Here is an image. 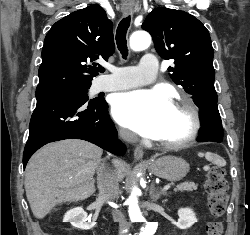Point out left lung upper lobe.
<instances>
[{
    "label": "left lung upper lobe",
    "mask_w": 250,
    "mask_h": 235,
    "mask_svg": "<svg viewBox=\"0 0 250 235\" xmlns=\"http://www.w3.org/2000/svg\"><path fill=\"white\" fill-rule=\"evenodd\" d=\"M142 29L151 34L161 57L174 60V66L168 68L171 78L192 95L199 108L217 102L214 52L209 32L201 21L184 11L156 8Z\"/></svg>",
    "instance_id": "left-lung-upper-lobe-1"
}]
</instances>
